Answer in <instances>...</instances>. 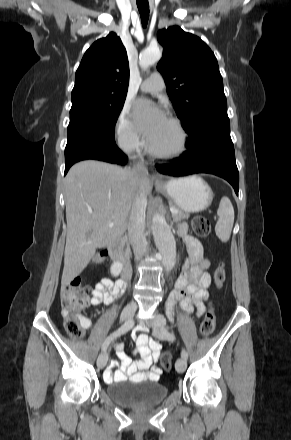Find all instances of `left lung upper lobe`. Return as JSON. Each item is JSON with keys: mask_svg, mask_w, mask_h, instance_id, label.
<instances>
[{"mask_svg": "<svg viewBox=\"0 0 291 440\" xmlns=\"http://www.w3.org/2000/svg\"><path fill=\"white\" fill-rule=\"evenodd\" d=\"M163 57L157 65L189 140L206 129L229 124L227 101L217 59L199 37L178 26L157 34Z\"/></svg>", "mask_w": 291, "mask_h": 440, "instance_id": "1", "label": "left lung upper lobe"}]
</instances>
